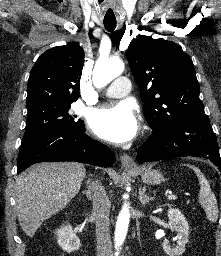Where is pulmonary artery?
I'll use <instances>...</instances> for the list:
<instances>
[{
    "instance_id": "e3ab8cb5",
    "label": "pulmonary artery",
    "mask_w": 221,
    "mask_h": 256,
    "mask_svg": "<svg viewBox=\"0 0 221 256\" xmlns=\"http://www.w3.org/2000/svg\"><path fill=\"white\" fill-rule=\"evenodd\" d=\"M130 91V81L126 77L116 78L105 90L104 94L110 98H121Z\"/></svg>"
}]
</instances>
